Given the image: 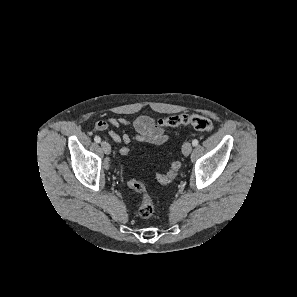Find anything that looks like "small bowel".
Instances as JSON below:
<instances>
[{
  "label": "small bowel",
  "instance_id": "obj_1",
  "mask_svg": "<svg viewBox=\"0 0 297 297\" xmlns=\"http://www.w3.org/2000/svg\"><path fill=\"white\" fill-rule=\"evenodd\" d=\"M94 128L100 132L107 131L113 141L126 147L132 139L141 143H150L154 145H161L168 140V135L164 128L159 125L158 121L145 115L139 116L133 121H129L123 117H110L106 120L97 121L94 124ZM123 128H131L136 134L130 136L125 131H122V133L119 134L117 129Z\"/></svg>",
  "mask_w": 297,
  "mask_h": 297
}]
</instances>
